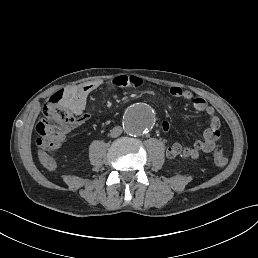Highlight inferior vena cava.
I'll list each match as a JSON object with an SVG mask.
<instances>
[{"mask_svg":"<svg viewBox=\"0 0 258 258\" xmlns=\"http://www.w3.org/2000/svg\"><path fill=\"white\" fill-rule=\"evenodd\" d=\"M123 130H122V127L120 126H116L114 127L111 131H110V136L112 138H115V137H118L122 134Z\"/></svg>","mask_w":258,"mask_h":258,"instance_id":"inferior-vena-cava-1","label":"inferior vena cava"}]
</instances>
